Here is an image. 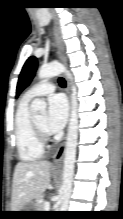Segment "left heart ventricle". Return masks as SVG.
Here are the masks:
<instances>
[{
	"mask_svg": "<svg viewBox=\"0 0 123 219\" xmlns=\"http://www.w3.org/2000/svg\"><path fill=\"white\" fill-rule=\"evenodd\" d=\"M35 121L43 128H46V116L45 115H41L37 117Z\"/></svg>",
	"mask_w": 123,
	"mask_h": 219,
	"instance_id": "left-heart-ventricle-1",
	"label": "left heart ventricle"
}]
</instances>
